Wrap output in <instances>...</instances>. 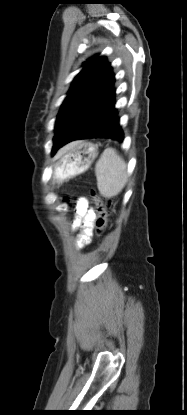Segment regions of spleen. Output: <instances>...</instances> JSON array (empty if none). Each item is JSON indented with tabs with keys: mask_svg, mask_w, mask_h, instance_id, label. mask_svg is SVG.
I'll use <instances>...</instances> for the list:
<instances>
[{
	"mask_svg": "<svg viewBox=\"0 0 187 415\" xmlns=\"http://www.w3.org/2000/svg\"><path fill=\"white\" fill-rule=\"evenodd\" d=\"M97 187L100 194L106 198L117 196L127 182L125 161L113 148H107L95 166Z\"/></svg>",
	"mask_w": 187,
	"mask_h": 415,
	"instance_id": "3e777b00",
	"label": "spleen"
}]
</instances>
